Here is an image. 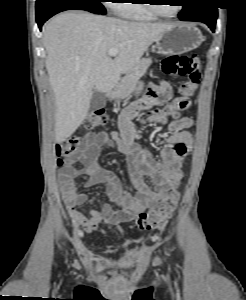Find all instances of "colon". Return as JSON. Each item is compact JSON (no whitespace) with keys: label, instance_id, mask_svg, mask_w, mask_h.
Listing matches in <instances>:
<instances>
[{"label":"colon","instance_id":"obj_1","mask_svg":"<svg viewBox=\"0 0 246 300\" xmlns=\"http://www.w3.org/2000/svg\"><path fill=\"white\" fill-rule=\"evenodd\" d=\"M162 72L167 76L185 77L187 80L179 87L182 96L192 95L201 80L202 67L200 58L195 55H172L161 62ZM161 100V97H157ZM175 119L179 117L173 106L156 108L145 118L147 122L165 120L168 116ZM108 118L102 108L94 109L85 121L87 129H94L106 125ZM78 137H71L56 146L57 164L62 165L63 159L74 154L79 145ZM179 201V192L176 188H170L163 196L157 208L142 212L133 218V224L140 230L147 231L162 226L174 213Z\"/></svg>","mask_w":246,"mask_h":300}]
</instances>
